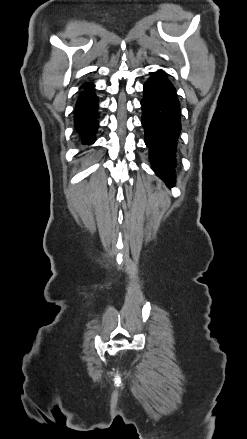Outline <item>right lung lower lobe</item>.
<instances>
[{
  "label": "right lung lower lobe",
  "mask_w": 247,
  "mask_h": 439,
  "mask_svg": "<svg viewBox=\"0 0 247 439\" xmlns=\"http://www.w3.org/2000/svg\"><path fill=\"white\" fill-rule=\"evenodd\" d=\"M98 100L94 95V85L83 86L76 103L75 125L82 144H92L99 127L97 119Z\"/></svg>",
  "instance_id": "obj_1"
}]
</instances>
